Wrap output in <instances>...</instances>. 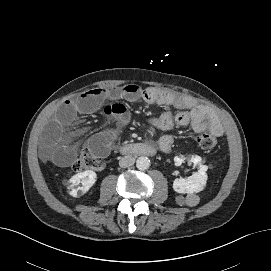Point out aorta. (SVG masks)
Instances as JSON below:
<instances>
[{
  "mask_svg": "<svg viewBox=\"0 0 271 271\" xmlns=\"http://www.w3.org/2000/svg\"><path fill=\"white\" fill-rule=\"evenodd\" d=\"M150 166V160L148 157L141 156L136 161V167L139 170H147Z\"/></svg>",
  "mask_w": 271,
  "mask_h": 271,
  "instance_id": "obj_1",
  "label": "aorta"
}]
</instances>
